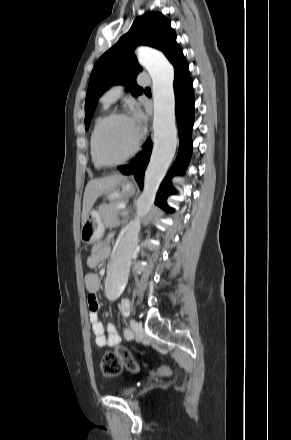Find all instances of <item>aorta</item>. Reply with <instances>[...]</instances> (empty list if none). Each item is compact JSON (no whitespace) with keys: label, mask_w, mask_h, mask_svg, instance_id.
<instances>
[{"label":"aorta","mask_w":291,"mask_h":440,"mask_svg":"<svg viewBox=\"0 0 291 440\" xmlns=\"http://www.w3.org/2000/svg\"><path fill=\"white\" fill-rule=\"evenodd\" d=\"M136 53L139 62L152 79L154 146L145 171L144 189L137 202L136 217L125 227L114 248L113 260L105 283V293L111 299L118 297L125 289L131 257L141 228V219L151 209L157 189L172 162L177 147L174 68L159 51L140 47Z\"/></svg>","instance_id":"aorta-1"}]
</instances>
